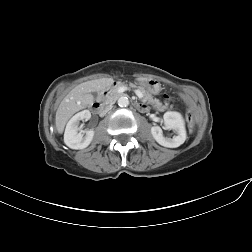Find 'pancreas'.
<instances>
[{"label":"pancreas","instance_id":"cf45deb5","mask_svg":"<svg viewBox=\"0 0 252 252\" xmlns=\"http://www.w3.org/2000/svg\"><path fill=\"white\" fill-rule=\"evenodd\" d=\"M127 86L128 87L132 86L135 89H137L138 91H140L142 93L143 100L146 101V102L151 103L154 106H156L158 111H164V110L168 109L169 104L167 102L163 105L158 99H153V97L149 93H147L144 89L139 87L138 83L128 82ZM117 91H118V89L113 90L112 95H118Z\"/></svg>","mask_w":252,"mask_h":252}]
</instances>
